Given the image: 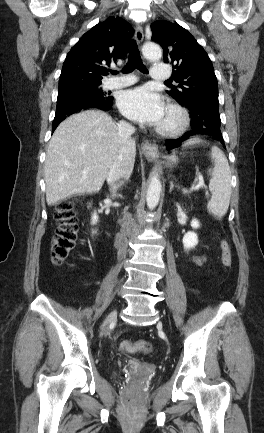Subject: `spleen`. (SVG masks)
<instances>
[{
	"mask_svg": "<svg viewBox=\"0 0 264 433\" xmlns=\"http://www.w3.org/2000/svg\"><path fill=\"white\" fill-rule=\"evenodd\" d=\"M203 142L200 138H192L184 146ZM211 158L214 167L209 169L211 175L209 190L212 197L207 205L208 210L218 218H222L229 207L231 197V171L225 154L216 146H212Z\"/></svg>",
	"mask_w": 264,
	"mask_h": 433,
	"instance_id": "1",
	"label": "spleen"
}]
</instances>
